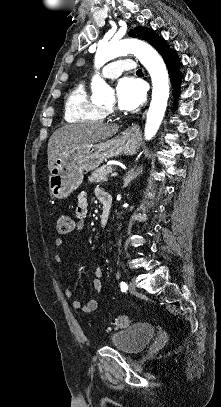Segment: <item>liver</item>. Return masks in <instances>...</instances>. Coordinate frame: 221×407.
I'll return each instance as SVG.
<instances>
[{
	"mask_svg": "<svg viewBox=\"0 0 221 407\" xmlns=\"http://www.w3.org/2000/svg\"><path fill=\"white\" fill-rule=\"evenodd\" d=\"M119 126L106 123H76L57 129L48 142V169L63 152L80 145L104 141L118 132Z\"/></svg>",
	"mask_w": 221,
	"mask_h": 407,
	"instance_id": "6515ba94",
	"label": "liver"
}]
</instances>
